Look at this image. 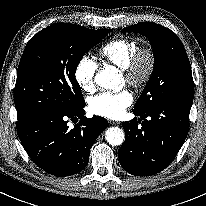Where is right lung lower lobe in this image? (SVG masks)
<instances>
[{
	"instance_id": "98d812e1",
	"label": "right lung lower lobe",
	"mask_w": 206,
	"mask_h": 206,
	"mask_svg": "<svg viewBox=\"0 0 206 206\" xmlns=\"http://www.w3.org/2000/svg\"><path fill=\"white\" fill-rule=\"evenodd\" d=\"M85 102L76 108L42 112L17 121V133L33 162L58 177L74 175L88 164L90 148L108 127L105 118L84 116ZM78 122L73 129L68 120Z\"/></svg>"
}]
</instances>
